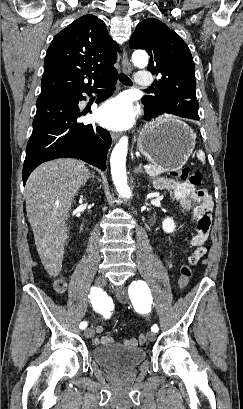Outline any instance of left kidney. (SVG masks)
Wrapping results in <instances>:
<instances>
[{"label":"left kidney","instance_id":"obj_1","mask_svg":"<svg viewBox=\"0 0 243 409\" xmlns=\"http://www.w3.org/2000/svg\"><path fill=\"white\" fill-rule=\"evenodd\" d=\"M162 228L166 233H172L175 230V223L172 218L164 219Z\"/></svg>","mask_w":243,"mask_h":409}]
</instances>
